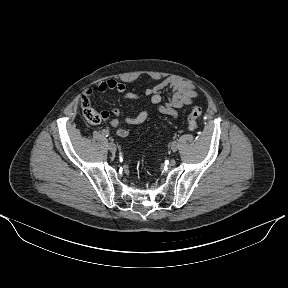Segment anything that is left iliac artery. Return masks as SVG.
<instances>
[{
	"label": "left iliac artery",
	"mask_w": 288,
	"mask_h": 288,
	"mask_svg": "<svg viewBox=\"0 0 288 288\" xmlns=\"http://www.w3.org/2000/svg\"><path fill=\"white\" fill-rule=\"evenodd\" d=\"M171 141H172V142H177V141H178V136H177L176 134H173V135L171 136Z\"/></svg>",
	"instance_id": "1"
}]
</instances>
